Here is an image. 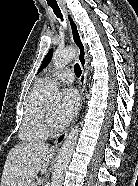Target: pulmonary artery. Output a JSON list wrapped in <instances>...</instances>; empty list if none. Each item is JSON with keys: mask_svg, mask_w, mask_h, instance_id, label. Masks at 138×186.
Instances as JSON below:
<instances>
[{"mask_svg": "<svg viewBox=\"0 0 138 186\" xmlns=\"http://www.w3.org/2000/svg\"><path fill=\"white\" fill-rule=\"evenodd\" d=\"M74 81V73L68 69L62 70L53 76L46 77L42 80L43 83L49 85L53 82L70 84Z\"/></svg>", "mask_w": 138, "mask_h": 186, "instance_id": "obj_1", "label": "pulmonary artery"}]
</instances>
